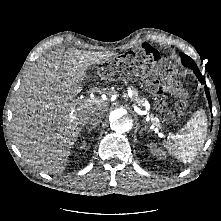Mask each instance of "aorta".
<instances>
[{"label":"aorta","mask_w":221,"mask_h":221,"mask_svg":"<svg viewBox=\"0 0 221 221\" xmlns=\"http://www.w3.org/2000/svg\"><path fill=\"white\" fill-rule=\"evenodd\" d=\"M111 129L118 133H128L134 126V118L124 109L112 111L109 117Z\"/></svg>","instance_id":"762f6f07"}]
</instances>
